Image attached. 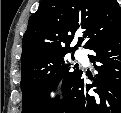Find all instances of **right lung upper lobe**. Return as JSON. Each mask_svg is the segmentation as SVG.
Masks as SVG:
<instances>
[{"label": "right lung upper lobe", "mask_w": 121, "mask_h": 113, "mask_svg": "<svg viewBox=\"0 0 121 113\" xmlns=\"http://www.w3.org/2000/svg\"><path fill=\"white\" fill-rule=\"evenodd\" d=\"M121 31V8L116 0H42L29 18L23 37L21 68L39 57L74 52L84 39L70 44L80 32L84 48L108 39Z\"/></svg>", "instance_id": "1"}]
</instances>
